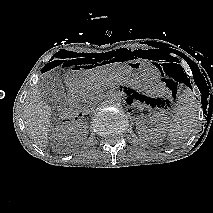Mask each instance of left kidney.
<instances>
[{"mask_svg":"<svg viewBox=\"0 0 213 213\" xmlns=\"http://www.w3.org/2000/svg\"><path fill=\"white\" fill-rule=\"evenodd\" d=\"M153 118L156 125L153 129H148L145 125L144 119H139L137 121V131L141 138L143 139H160L163 138L167 132V116L161 111H155L153 113Z\"/></svg>","mask_w":213,"mask_h":213,"instance_id":"1","label":"left kidney"}]
</instances>
